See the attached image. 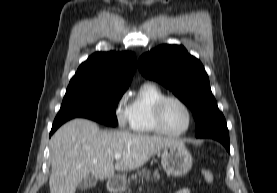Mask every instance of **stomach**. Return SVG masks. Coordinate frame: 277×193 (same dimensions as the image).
Returning <instances> with one entry per match:
<instances>
[{"instance_id":"obj_1","label":"stomach","mask_w":277,"mask_h":193,"mask_svg":"<svg viewBox=\"0 0 277 193\" xmlns=\"http://www.w3.org/2000/svg\"><path fill=\"white\" fill-rule=\"evenodd\" d=\"M193 158L184 143L165 147L161 153V165L168 175L180 177L187 174L192 168ZM126 187L124 176L113 178L112 188L123 191Z\"/></svg>"}]
</instances>
